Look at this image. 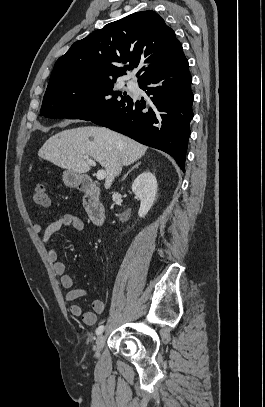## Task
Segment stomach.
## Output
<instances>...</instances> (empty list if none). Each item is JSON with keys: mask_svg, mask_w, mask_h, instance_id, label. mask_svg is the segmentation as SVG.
Instances as JSON below:
<instances>
[{"mask_svg": "<svg viewBox=\"0 0 265 407\" xmlns=\"http://www.w3.org/2000/svg\"><path fill=\"white\" fill-rule=\"evenodd\" d=\"M62 179L66 186L77 187L82 183L84 175L71 170H66L63 172Z\"/></svg>", "mask_w": 265, "mask_h": 407, "instance_id": "obj_1", "label": "stomach"}]
</instances>
